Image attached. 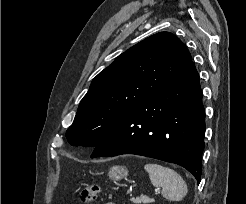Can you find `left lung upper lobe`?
I'll use <instances>...</instances> for the list:
<instances>
[{
  "label": "left lung upper lobe",
  "instance_id": "1",
  "mask_svg": "<svg viewBox=\"0 0 246 204\" xmlns=\"http://www.w3.org/2000/svg\"><path fill=\"white\" fill-rule=\"evenodd\" d=\"M191 61L186 46L169 32L137 43L93 79L66 132L68 142L95 147L132 109Z\"/></svg>",
  "mask_w": 246,
  "mask_h": 204
}]
</instances>
